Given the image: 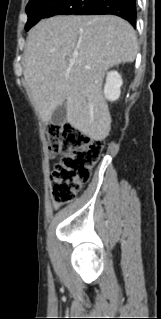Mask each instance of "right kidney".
Instances as JSON below:
<instances>
[{
	"instance_id": "obj_1",
	"label": "right kidney",
	"mask_w": 161,
	"mask_h": 319,
	"mask_svg": "<svg viewBox=\"0 0 161 319\" xmlns=\"http://www.w3.org/2000/svg\"><path fill=\"white\" fill-rule=\"evenodd\" d=\"M123 80L117 71H110L107 74L106 83L104 86L105 98L109 101H115L120 97L121 86Z\"/></svg>"
}]
</instances>
